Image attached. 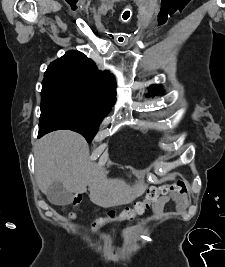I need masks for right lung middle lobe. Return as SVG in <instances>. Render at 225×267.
Listing matches in <instances>:
<instances>
[{
  "mask_svg": "<svg viewBox=\"0 0 225 267\" xmlns=\"http://www.w3.org/2000/svg\"><path fill=\"white\" fill-rule=\"evenodd\" d=\"M110 109L82 87L65 82H42L41 116L60 120L89 143Z\"/></svg>",
  "mask_w": 225,
  "mask_h": 267,
  "instance_id": "1",
  "label": "right lung middle lobe"
}]
</instances>
